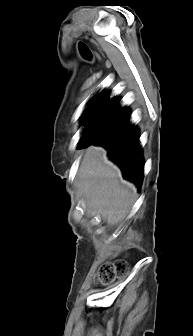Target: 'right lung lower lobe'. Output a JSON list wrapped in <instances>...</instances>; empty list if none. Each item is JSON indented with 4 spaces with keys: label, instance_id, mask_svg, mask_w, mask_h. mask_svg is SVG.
Returning <instances> with one entry per match:
<instances>
[{
    "label": "right lung lower lobe",
    "instance_id": "obj_1",
    "mask_svg": "<svg viewBox=\"0 0 193 336\" xmlns=\"http://www.w3.org/2000/svg\"><path fill=\"white\" fill-rule=\"evenodd\" d=\"M130 113L125 107L116 106L103 131L94 139L82 142L80 148L88 145H102L107 156L122 170L123 177L141 187L143 180V157L139 145L138 131L129 123Z\"/></svg>",
    "mask_w": 193,
    "mask_h": 336
}]
</instances>
